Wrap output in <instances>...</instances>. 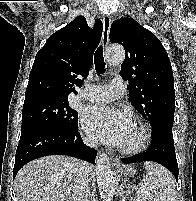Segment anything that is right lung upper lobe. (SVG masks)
Wrapping results in <instances>:
<instances>
[{"label":"right lung upper lobe","mask_w":196,"mask_h":201,"mask_svg":"<svg viewBox=\"0 0 196 201\" xmlns=\"http://www.w3.org/2000/svg\"><path fill=\"white\" fill-rule=\"evenodd\" d=\"M103 25L97 19L89 29L84 16H78L52 34L36 54L29 74L25 99L38 96L67 98L77 94L80 77H86L93 64V52L101 40Z\"/></svg>","instance_id":"obj_1"}]
</instances>
